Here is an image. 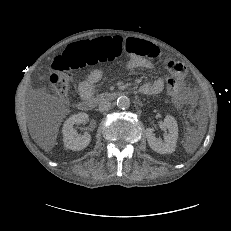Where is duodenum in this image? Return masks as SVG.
Masks as SVG:
<instances>
[{"instance_id":"duodenum-1","label":"duodenum","mask_w":231,"mask_h":231,"mask_svg":"<svg viewBox=\"0 0 231 231\" xmlns=\"http://www.w3.org/2000/svg\"><path fill=\"white\" fill-rule=\"evenodd\" d=\"M122 95L121 92L114 91V92H107L100 94L99 96L93 98V97H88V98H83L79 106L82 110L85 111H91L95 108V106L103 101H114L118 99Z\"/></svg>"}]
</instances>
